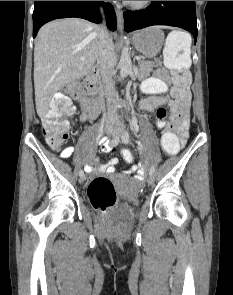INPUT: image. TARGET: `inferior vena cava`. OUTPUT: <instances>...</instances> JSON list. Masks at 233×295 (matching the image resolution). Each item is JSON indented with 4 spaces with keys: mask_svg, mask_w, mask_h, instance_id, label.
I'll list each match as a JSON object with an SVG mask.
<instances>
[{
    "mask_svg": "<svg viewBox=\"0 0 233 295\" xmlns=\"http://www.w3.org/2000/svg\"><path fill=\"white\" fill-rule=\"evenodd\" d=\"M97 65L100 70L102 86L108 102V117L116 118V108L113 106L115 98V86L112 80L116 55L113 40L108 34L105 25H101Z\"/></svg>",
    "mask_w": 233,
    "mask_h": 295,
    "instance_id": "inferior-vena-cava-1",
    "label": "inferior vena cava"
}]
</instances>
